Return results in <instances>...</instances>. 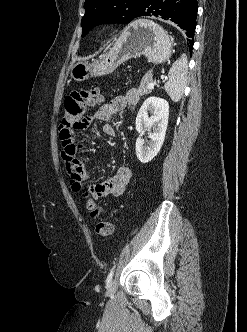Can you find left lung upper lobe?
Instances as JSON below:
<instances>
[{
	"instance_id": "1",
	"label": "left lung upper lobe",
	"mask_w": 247,
	"mask_h": 332,
	"mask_svg": "<svg viewBox=\"0 0 247 332\" xmlns=\"http://www.w3.org/2000/svg\"><path fill=\"white\" fill-rule=\"evenodd\" d=\"M146 0H85L82 37L95 26L109 23H129L137 17Z\"/></svg>"
}]
</instances>
